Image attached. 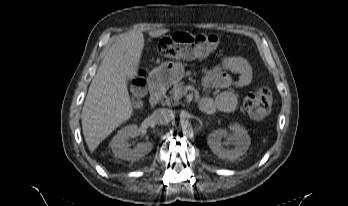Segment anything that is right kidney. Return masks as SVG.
<instances>
[{
    "label": "right kidney",
    "mask_w": 348,
    "mask_h": 206,
    "mask_svg": "<svg viewBox=\"0 0 348 206\" xmlns=\"http://www.w3.org/2000/svg\"><path fill=\"white\" fill-rule=\"evenodd\" d=\"M138 136L137 125H128L122 128L113 137L110 146L115 157L128 161H137L147 155L153 147L149 141L140 142L134 148H130L127 140Z\"/></svg>",
    "instance_id": "obj_1"
}]
</instances>
